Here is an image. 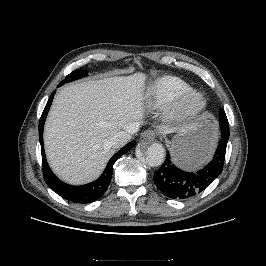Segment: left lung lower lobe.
I'll return each mask as SVG.
<instances>
[{
    "instance_id": "obj_1",
    "label": "left lung lower lobe",
    "mask_w": 266,
    "mask_h": 266,
    "mask_svg": "<svg viewBox=\"0 0 266 266\" xmlns=\"http://www.w3.org/2000/svg\"><path fill=\"white\" fill-rule=\"evenodd\" d=\"M221 142L214 157L207 166L197 172H186L176 167L171 161L169 152L163 165L154 173L157 188L173 199H186L205 190L223 169L227 142L229 139V124L226 114L220 116Z\"/></svg>"
}]
</instances>
